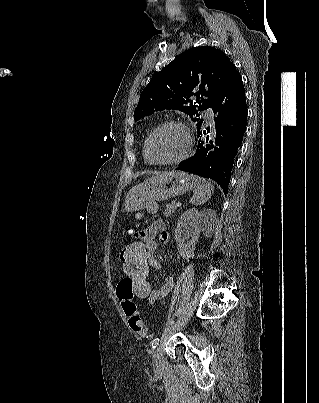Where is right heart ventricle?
<instances>
[{
  "mask_svg": "<svg viewBox=\"0 0 319 403\" xmlns=\"http://www.w3.org/2000/svg\"><path fill=\"white\" fill-rule=\"evenodd\" d=\"M145 142H146V141H145ZM145 142H144V145H143V158H144L145 162L150 163V162L147 160L146 155H145Z\"/></svg>",
  "mask_w": 319,
  "mask_h": 403,
  "instance_id": "e07e8e85",
  "label": "right heart ventricle"
}]
</instances>
